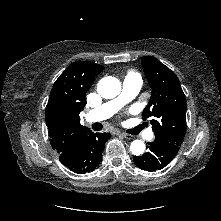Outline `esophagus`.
I'll return each instance as SVG.
<instances>
[{
  "label": "esophagus",
  "mask_w": 221,
  "mask_h": 221,
  "mask_svg": "<svg viewBox=\"0 0 221 221\" xmlns=\"http://www.w3.org/2000/svg\"><path fill=\"white\" fill-rule=\"evenodd\" d=\"M119 135H121L122 137H124V138H126V139H132L133 138V136L132 135H129V134H126V133H119Z\"/></svg>",
  "instance_id": "34e87169"
}]
</instances>
